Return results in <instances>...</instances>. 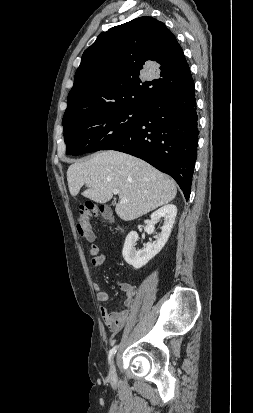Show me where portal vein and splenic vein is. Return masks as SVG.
<instances>
[{
  "mask_svg": "<svg viewBox=\"0 0 253 413\" xmlns=\"http://www.w3.org/2000/svg\"><path fill=\"white\" fill-rule=\"evenodd\" d=\"M113 193H114V194H118V190H117V189H114V190H113ZM121 201H122V202H127V199L122 198Z\"/></svg>",
  "mask_w": 253,
  "mask_h": 413,
  "instance_id": "obj_1",
  "label": "portal vein and splenic vein"
}]
</instances>
